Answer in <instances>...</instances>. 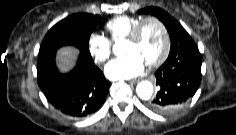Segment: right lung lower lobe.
Masks as SVG:
<instances>
[{"instance_id": "1", "label": "right lung lower lobe", "mask_w": 236, "mask_h": 135, "mask_svg": "<svg viewBox=\"0 0 236 135\" xmlns=\"http://www.w3.org/2000/svg\"><path fill=\"white\" fill-rule=\"evenodd\" d=\"M37 81L48 102L73 118H83L98 111L111 85L91 55L82 51L76 67L68 74L59 73L55 55L39 58Z\"/></svg>"}]
</instances>
